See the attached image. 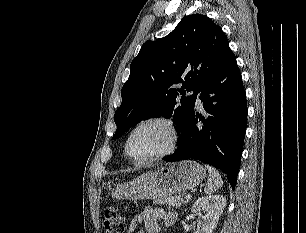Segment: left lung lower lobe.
Returning <instances> with one entry per match:
<instances>
[{
  "label": "left lung lower lobe",
  "mask_w": 306,
  "mask_h": 233,
  "mask_svg": "<svg viewBox=\"0 0 306 233\" xmlns=\"http://www.w3.org/2000/svg\"><path fill=\"white\" fill-rule=\"evenodd\" d=\"M208 118L197 128L193 112L180 131L178 148L166 161L197 159L221 169L235 189L247 127L246 94L236 57L231 50L201 88ZM199 120H201L199 118Z\"/></svg>",
  "instance_id": "obj_1"
}]
</instances>
